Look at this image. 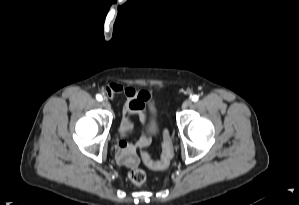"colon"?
Here are the masks:
<instances>
[{"mask_svg":"<svg viewBox=\"0 0 299 205\" xmlns=\"http://www.w3.org/2000/svg\"><path fill=\"white\" fill-rule=\"evenodd\" d=\"M141 151L142 158L148 167L156 170L166 168L173 158V146L168 132L164 133V141L160 160L156 161L151 159L150 156L143 150V147L141 148ZM129 178L131 182L137 186H142L147 182V175L141 168H133L129 172Z\"/></svg>","mask_w":299,"mask_h":205,"instance_id":"obj_1","label":"colon"}]
</instances>
